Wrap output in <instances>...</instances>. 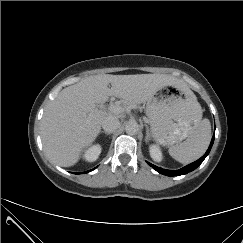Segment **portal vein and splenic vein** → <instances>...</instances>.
I'll list each match as a JSON object with an SVG mask.
<instances>
[{"label": "portal vein and splenic vein", "mask_w": 243, "mask_h": 243, "mask_svg": "<svg viewBox=\"0 0 243 243\" xmlns=\"http://www.w3.org/2000/svg\"><path fill=\"white\" fill-rule=\"evenodd\" d=\"M109 110L115 114H120L124 111V108L119 105H110Z\"/></svg>", "instance_id": "obj_1"}]
</instances>
